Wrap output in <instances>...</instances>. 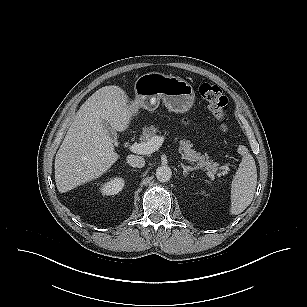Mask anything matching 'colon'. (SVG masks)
<instances>
[{"mask_svg": "<svg viewBox=\"0 0 307 307\" xmlns=\"http://www.w3.org/2000/svg\"><path fill=\"white\" fill-rule=\"evenodd\" d=\"M201 97L207 102L208 108L213 116L220 122L222 131H227L228 126L225 119L228 113V99L222 90L213 84L202 83L199 87Z\"/></svg>", "mask_w": 307, "mask_h": 307, "instance_id": "colon-1", "label": "colon"}]
</instances>
